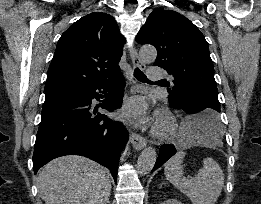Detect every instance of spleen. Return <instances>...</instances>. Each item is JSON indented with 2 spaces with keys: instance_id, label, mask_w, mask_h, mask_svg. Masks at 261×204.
<instances>
[{
  "instance_id": "obj_1",
  "label": "spleen",
  "mask_w": 261,
  "mask_h": 204,
  "mask_svg": "<svg viewBox=\"0 0 261 204\" xmlns=\"http://www.w3.org/2000/svg\"><path fill=\"white\" fill-rule=\"evenodd\" d=\"M202 119L197 117L190 123H185L181 130L187 137L188 146H209L214 137L200 131ZM185 152L179 151L165 163L164 172L167 180L185 194L192 204H215L224 185V173L212 158L203 159V168L192 179L183 177L181 165Z\"/></svg>"
}]
</instances>
